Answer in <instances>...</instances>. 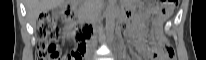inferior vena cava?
<instances>
[{
	"label": "inferior vena cava",
	"instance_id": "602c4592",
	"mask_svg": "<svg viewBox=\"0 0 206 60\" xmlns=\"http://www.w3.org/2000/svg\"><path fill=\"white\" fill-rule=\"evenodd\" d=\"M96 21H97V18H96V15H94L93 22H96Z\"/></svg>",
	"mask_w": 206,
	"mask_h": 60
}]
</instances>
